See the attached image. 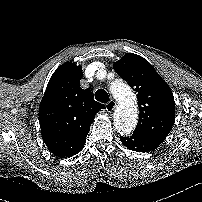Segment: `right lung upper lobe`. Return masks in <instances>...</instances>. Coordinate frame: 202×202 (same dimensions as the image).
Returning <instances> with one entry per match:
<instances>
[{
	"mask_svg": "<svg viewBox=\"0 0 202 202\" xmlns=\"http://www.w3.org/2000/svg\"><path fill=\"white\" fill-rule=\"evenodd\" d=\"M82 68L62 64L49 80L39 107L43 141L59 158L73 156L84 146L95 114L105 106L96 102L90 89H82Z\"/></svg>",
	"mask_w": 202,
	"mask_h": 202,
	"instance_id": "1",
	"label": "right lung upper lobe"
}]
</instances>
